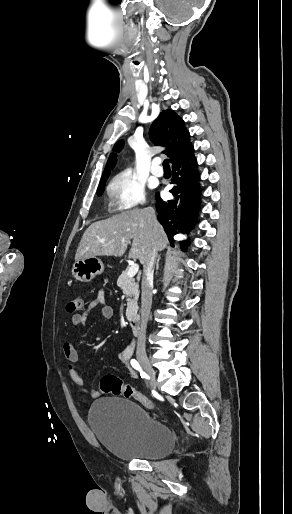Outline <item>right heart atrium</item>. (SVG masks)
I'll list each match as a JSON object with an SVG mask.
<instances>
[{
	"label": "right heart atrium",
	"mask_w": 292,
	"mask_h": 514,
	"mask_svg": "<svg viewBox=\"0 0 292 514\" xmlns=\"http://www.w3.org/2000/svg\"><path fill=\"white\" fill-rule=\"evenodd\" d=\"M145 181L135 171L123 170L116 173L107 186L109 201L117 209H133L144 201Z\"/></svg>",
	"instance_id": "obj_1"
}]
</instances>
